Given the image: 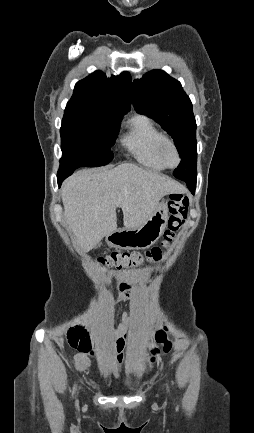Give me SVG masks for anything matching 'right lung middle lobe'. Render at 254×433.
I'll list each match as a JSON object with an SVG mask.
<instances>
[{
    "instance_id": "obj_1",
    "label": "right lung middle lobe",
    "mask_w": 254,
    "mask_h": 433,
    "mask_svg": "<svg viewBox=\"0 0 254 433\" xmlns=\"http://www.w3.org/2000/svg\"><path fill=\"white\" fill-rule=\"evenodd\" d=\"M120 122L101 109L66 108L60 129L61 165L79 168L108 164L113 159L110 147L118 135Z\"/></svg>"
}]
</instances>
